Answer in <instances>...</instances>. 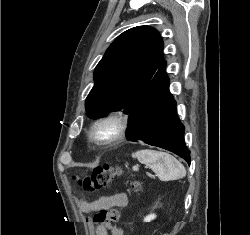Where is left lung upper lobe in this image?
<instances>
[{
  "label": "left lung upper lobe",
  "instance_id": "5c2ea615",
  "mask_svg": "<svg viewBox=\"0 0 250 235\" xmlns=\"http://www.w3.org/2000/svg\"><path fill=\"white\" fill-rule=\"evenodd\" d=\"M162 52L163 41L152 27H134L118 36L95 68V85L85 103L89 117L95 119L121 109L131 113L165 64Z\"/></svg>",
  "mask_w": 250,
  "mask_h": 235
}]
</instances>
